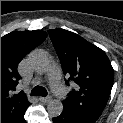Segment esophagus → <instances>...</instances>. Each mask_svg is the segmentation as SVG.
Listing matches in <instances>:
<instances>
[{"mask_svg": "<svg viewBox=\"0 0 123 123\" xmlns=\"http://www.w3.org/2000/svg\"><path fill=\"white\" fill-rule=\"evenodd\" d=\"M39 100L43 103L50 102L52 100V97L47 96V97H40Z\"/></svg>", "mask_w": 123, "mask_h": 123, "instance_id": "34e87169", "label": "esophagus"}]
</instances>
